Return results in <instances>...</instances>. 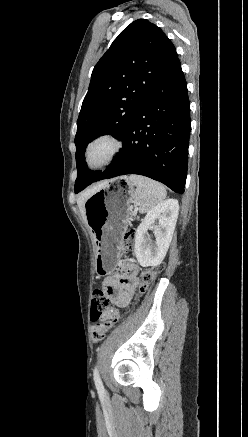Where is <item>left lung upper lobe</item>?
Returning <instances> with one entry per match:
<instances>
[{
    "mask_svg": "<svg viewBox=\"0 0 248 437\" xmlns=\"http://www.w3.org/2000/svg\"><path fill=\"white\" fill-rule=\"evenodd\" d=\"M177 59L172 42L148 20L132 22L113 41L93 69L77 120L75 193L101 174L84 162L88 143L105 134L123 140L135 113Z\"/></svg>",
    "mask_w": 248,
    "mask_h": 437,
    "instance_id": "5c2ea615",
    "label": "left lung upper lobe"
}]
</instances>
